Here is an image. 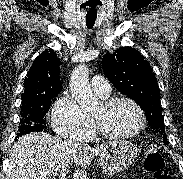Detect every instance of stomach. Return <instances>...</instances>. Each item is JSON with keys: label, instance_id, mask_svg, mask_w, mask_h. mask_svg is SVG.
<instances>
[{"label": "stomach", "instance_id": "obj_1", "mask_svg": "<svg viewBox=\"0 0 183 179\" xmlns=\"http://www.w3.org/2000/svg\"><path fill=\"white\" fill-rule=\"evenodd\" d=\"M138 155L137 147L126 140L110 142L99 153L102 170L107 174H115L127 169Z\"/></svg>", "mask_w": 183, "mask_h": 179}]
</instances>
